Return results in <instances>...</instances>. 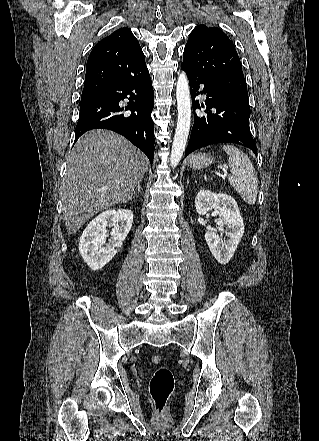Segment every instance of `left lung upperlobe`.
Returning <instances> with one entry per match:
<instances>
[{"label": "left lung upper lobe", "mask_w": 319, "mask_h": 441, "mask_svg": "<svg viewBox=\"0 0 319 441\" xmlns=\"http://www.w3.org/2000/svg\"><path fill=\"white\" fill-rule=\"evenodd\" d=\"M183 64L223 83L236 96L249 103L237 51L221 29L206 25L196 26L185 46Z\"/></svg>", "instance_id": "1"}]
</instances>
